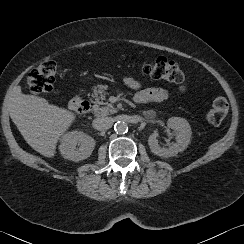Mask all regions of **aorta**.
<instances>
[{"mask_svg": "<svg viewBox=\"0 0 244 244\" xmlns=\"http://www.w3.org/2000/svg\"><path fill=\"white\" fill-rule=\"evenodd\" d=\"M114 130L120 134L126 133L128 131V125L124 121H118L114 125Z\"/></svg>", "mask_w": 244, "mask_h": 244, "instance_id": "762f6f07", "label": "aorta"}]
</instances>
